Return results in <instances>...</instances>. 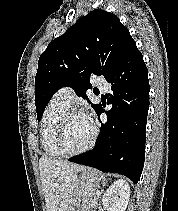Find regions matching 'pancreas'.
I'll return each mask as SVG.
<instances>
[{
  "label": "pancreas",
  "instance_id": "1",
  "mask_svg": "<svg viewBox=\"0 0 178 211\" xmlns=\"http://www.w3.org/2000/svg\"><path fill=\"white\" fill-rule=\"evenodd\" d=\"M96 192L97 189H92L84 194L77 211H92L99 200V196L96 195Z\"/></svg>",
  "mask_w": 178,
  "mask_h": 211
}]
</instances>
